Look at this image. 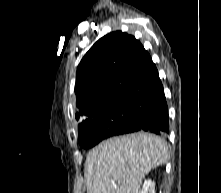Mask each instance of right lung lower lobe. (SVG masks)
<instances>
[{"mask_svg":"<svg viewBox=\"0 0 221 193\" xmlns=\"http://www.w3.org/2000/svg\"><path fill=\"white\" fill-rule=\"evenodd\" d=\"M148 131L166 136L169 133L168 107L161 81L147 100V110L131 125L121 129L116 135Z\"/></svg>","mask_w":221,"mask_h":193,"instance_id":"1","label":"right lung lower lobe"}]
</instances>
